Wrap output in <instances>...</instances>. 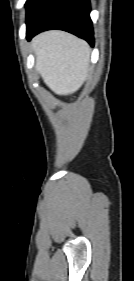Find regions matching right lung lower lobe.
Listing matches in <instances>:
<instances>
[{
    "label": "right lung lower lobe",
    "instance_id": "obj_1",
    "mask_svg": "<svg viewBox=\"0 0 134 281\" xmlns=\"http://www.w3.org/2000/svg\"><path fill=\"white\" fill-rule=\"evenodd\" d=\"M26 26L28 40L41 31L59 29L94 46L89 0H38L27 16Z\"/></svg>",
    "mask_w": 134,
    "mask_h": 281
}]
</instances>
